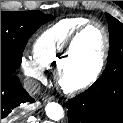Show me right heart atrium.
Segmentation results:
<instances>
[{"label":"right heart atrium","mask_w":123,"mask_h":123,"mask_svg":"<svg viewBox=\"0 0 123 123\" xmlns=\"http://www.w3.org/2000/svg\"><path fill=\"white\" fill-rule=\"evenodd\" d=\"M20 66L27 76L36 80L44 79V69L32 56L23 55L20 59Z\"/></svg>","instance_id":"1"}]
</instances>
